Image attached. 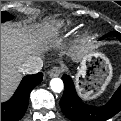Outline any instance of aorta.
<instances>
[{
	"label": "aorta",
	"mask_w": 121,
	"mask_h": 121,
	"mask_svg": "<svg viewBox=\"0 0 121 121\" xmlns=\"http://www.w3.org/2000/svg\"><path fill=\"white\" fill-rule=\"evenodd\" d=\"M50 88L55 93H60L64 89V83L60 78H53L50 81Z\"/></svg>",
	"instance_id": "obj_1"
}]
</instances>
